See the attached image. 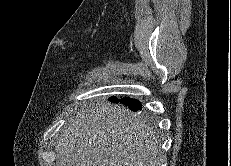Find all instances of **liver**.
Here are the masks:
<instances>
[{"mask_svg": "<svg viewBox=\"0 0 231 166\" xmlns=\"http://www.w3.org/2000/svg\"><path fill=\"white\" fill-rule=\"evenodd\" d=\"M160 139L130 110L97 102L82 107L56 136V166H157Z\"/></svg>", "mask_w": 231, "mask_h": 166, "instance_id": "6515ba94", "label": "liver"}]
</instances>
